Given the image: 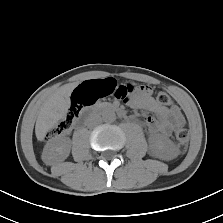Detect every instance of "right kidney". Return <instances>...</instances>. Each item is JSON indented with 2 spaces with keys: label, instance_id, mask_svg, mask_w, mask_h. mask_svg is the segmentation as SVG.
Instances as JSON below:
<instances>
[{
  "label": "right kidney",
  "instance_id": "right-kidney-1",
  "mask_svg": "<svg viewBox=\"0 0 223 223\" xmlns=\"http://www.w3.org/2000/svg\"><path fill=\"white\" fill-rule=\"evenodd\" d=\"M71 150V141L67 137H57L51 140L45 147L42 153V159L47 164H52L56 161L65 160Z\"/></svg>",
  "mask_w": 223,
  "mask_h": 223
}]
</instances>
